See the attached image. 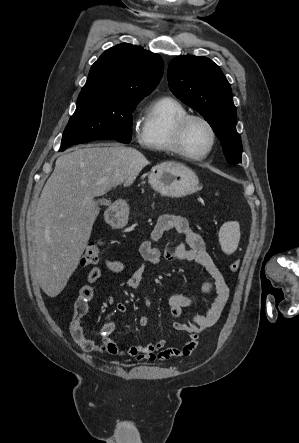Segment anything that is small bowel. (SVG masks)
Masks as SVG:
<instances>
[{"instance_id":"small-bowel-1","label":"small bowel","mask_w":299,"mask_h":443,"mask_svg":"<svg viewBox=\"0 0 299 443\" xmlns=\"http://www.w3.org/2000/svg\"><path fill=\"white\" fill-rule=\"evenodd\" d=\"M170 230L181 234L183 241L175 244L169 240L165 249L162 250L159 242L164 234ZM139 252L144 260L142 264L128 279L130 287L136 288L141 277L149 265H155L162 258L167 260H188L193 261L204 267L208 273V280L201 287V292L208 294L215 293V298L204 314H190L188 321L182 322L175 320L173 329L177 332L188 334L186 341L180 347L167 346L162 339H154L146 345H119L114 342L110 336L115 330V324L107 321L100 328L101 342L88 338L81 325L82 317L88 311V303L94 296V284L102 275V269L99 266L93 267L78 292V297L74 303V315L69 325V331L74 342L86 353H107L114 356H128L136 361L140 360H167L175 357L189 356L197 347L199 335L209 327L213 326L219 319L229 298V289L225 279L209 254L203 238L189 227L187 220L181 216L162 215L159 217L150 237L143 239ZM105 268L111 273H122L127 269V265L113 260H105ZM196 297L190 294L177 293L168 300L169 310L174 318H179L184 314V310L191 306ZM147 306L150 305V296L144 297ZM119 313H125L127 306L123 302L116 305ZM143 331H146L148 325L147 317L143 316L139 320Z\"/></svg>"}]
</instances>
